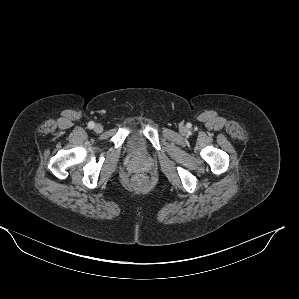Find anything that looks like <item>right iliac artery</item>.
<instances>
[{"mask_svg":"<svg viewBox=\"0 0 299 299\" xmlns=\"http://www.w3.org/2000/svg\"><path fill=\"white\" fill-rule=\"evenodd\" d=\"M94 125H95V124H94V122H92V121L88 123V127H89L90 129H92V128L94 127Z\"/></svg>","mask_w":299,"mask_h":299,"instance_id":"right-iliac-artery-1","label":"right iliac artery"}]
</instances>
